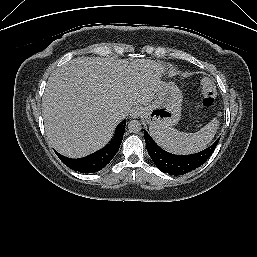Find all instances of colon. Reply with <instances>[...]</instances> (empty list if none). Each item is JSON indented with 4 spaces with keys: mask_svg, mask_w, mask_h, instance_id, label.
Segmentation results:
<instances>
[{
    "mask_svg": "<svg viewBox=\"0 0 257 257\" xmlns=\"http://www.w3.org/2000/svg\"><path fill=\"white\" fill-rule=\"evenodd\" d=\"M201 105L203 107H211L217 96V89L213 81L208 77H201Z\"/></svg>",
    "mask_w": 257,
    "mask_h": 257,
    "instance_id": "1",
    "label": "colon"
}]
</instances>
